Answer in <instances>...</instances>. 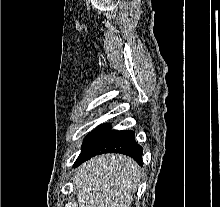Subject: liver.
Returning a JSON list of instances; mask_svg holds the SVG:
<instances>
[{
	"instance_id": "liver-1",
	"label": "liver",
	"mask_w": 220,
	"mask_h": 207,
	"mask_svg": "<svg viewBox=\"0 0 220 207\" xmlns=\"http://www.w3.org/2000/svg\"><path fill=\"white\" fill-rule=\"evenodd\" d=\"M140 180L138 164L122 154L90 159L73 179L80 207H130Z\"/></svg>"
}]
</instances>
